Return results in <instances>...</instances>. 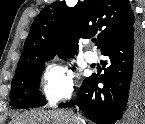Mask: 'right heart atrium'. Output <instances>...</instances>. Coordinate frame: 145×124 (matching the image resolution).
<instances>
[{"label": "right heart atrium", "instance_id": "obj_1", "mask_svg": "<svg viewBox=\"0 0 145 124\" xmlns=\"http://www.w3.org/2000/svg\"><path fill=\"white\" fill-rule=\"evenodd\" d=\"M74 75L59 63H49L42 74V93L50 102L70 97L74 91Z\"/></svg>", "mask_w": 145, "mask_h": 124}]
</instances>
